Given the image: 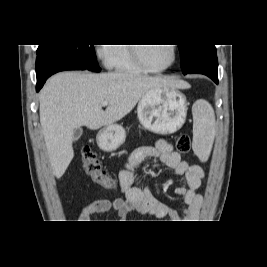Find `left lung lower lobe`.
<instances>
[{"label":"left lung lower lobe","instance_id":"1","mask_svg":"<svg viewBox=\"0 0 267 267\" xmlns=\"http://www.w3.org/2000/svg\"><path fill=\"white\" fill-rule=\"evenodd\" d=\"M186 74H204L218 84V61L216 55L198 61Z\"/></svg>","mask_w":267,"mask_h":267}]
</instances>
